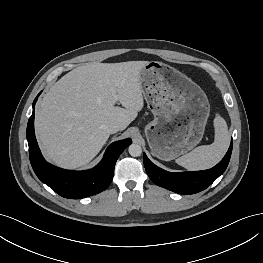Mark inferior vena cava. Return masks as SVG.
Masks as SVG:
<instances>
[{"mask_svg": "<svg viewBox=\"0 0 263 263\" xmlns=\"http://www.w3.org/2000/svg\"><path fill=\"white\" fill-rule=\"evenodd\" d=\"M121 129V126L119 123L117 122H112L109 123L105 126V130L109 133V134H114L116 132H118Z\"/></svg>", "mask_w": 263, "mask_h": 263, "instance_id": "602c4592", "label": "inferior vena cava"}]
</instances>
